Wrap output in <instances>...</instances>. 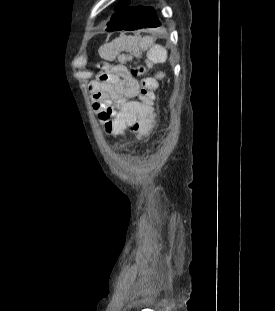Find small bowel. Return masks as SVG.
I'll return each mask as SVG.
<instances>
[{"mask_svg":"<svg viewBox=\"0 0 275 311\" xmlns=\"http://www.w3.org/2000/svg\"><path fill=\"white\" fill-rule=\"evenodd\" d=\"M99 54L103 59H112V65L106 78L94 81L89 90L93 108L100 120L111 118H129V128L140 133L141 139H148L154 131L153 100L139 96V82L130 73L126 64L136 57H150L151 62H170L169 50L154 44L152 37L134 39L131 36L120 38L105 44ZM162 74L157 76L160 79ZM155 84L158 81L154 79ZM123 134L126 130H117Z\"/></svg>","mask_w":275,"mask_h":311,"instance_id":"obj_1","label":"small bowel"}]
</instances>
